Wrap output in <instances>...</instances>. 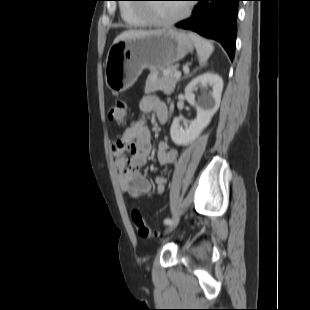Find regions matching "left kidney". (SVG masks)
<instances>
[{
    "label": "left kidney",
    "instance_id": "1",
    "mask_svg": "<svg viewBox=\"0 0 310 310\" xmlns=\"http://www.w3.org/2000/svg\"><path fill=\"white\" fill-rule=\"evenodd\" d=\"M208 85L212 87V91L205 93L196 103L194 90L198 86L206 88ZM222 90V78L211 72L196 77L187 85L185 98L196 108L197 117L189 122H183V125L180 124L178 118H174L170 128V135L176 145H187L193 142L209 125L211 118L219 108Z\"/></svg>",
    "mask_w": 310,
    "mask_h": 310
}]
</instances>
